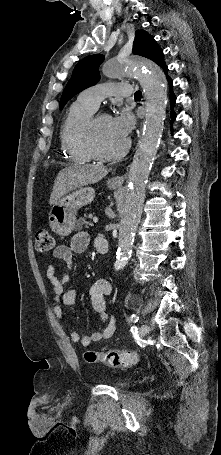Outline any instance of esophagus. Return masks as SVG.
I'll use <instances>...</instances> for the list:
<instances>
[{
	"label": "esophagus",
	"mask_w": 221,
	"mask_h": 455,
	"mask_svg": "<svg viewBox=\"0 0 221 455\" xmlns=\"http://www.w3.org/2000/svg\"><path fill=\"white\" fill-rule=\"evenodd\" d=\"M126 179V174L122 176H115L112 180L114 183L123 184Z\"/></svg>",
	"instance_id": "1"
}]
</instances>
